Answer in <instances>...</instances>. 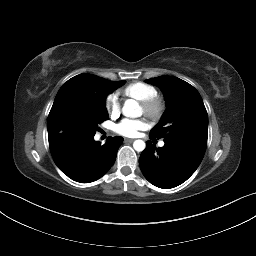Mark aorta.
I'll return each instance as SVG.
<instances>
[{"instance_id":"1","label":"aorta","mask_w":256,"mask_h":256,"mask_svg":"<svg viewBox=\"0 0 256 256\" xmlns=\"http://www.w3.org/2000/svg\"><path fill=\"white\" fill-rule=\"evenodd\" d=\"M122 113L126 117L136 118L141 116L142 111L137 101L128 99L125 101L123 105ZM145 147L146 144L143 140H135L133 143V148L137 152H142L145 149Z\"/></svg>"}]
</instances>
